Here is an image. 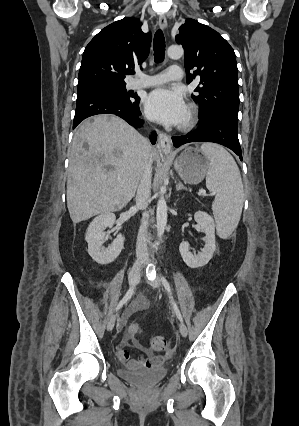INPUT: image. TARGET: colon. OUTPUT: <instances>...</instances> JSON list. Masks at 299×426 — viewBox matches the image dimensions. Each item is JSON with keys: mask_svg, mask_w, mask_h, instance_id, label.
<instances>
[{"mask_svg": "<svg viewBox=\"0 0 299 426\" xmlns=\"http://www.w3.org/2000/svg\"><path fill=\"white\" fill-rule=\"evenodd\" d=\"M142 332V328L138 323H132L128 327V334L132 338L138 337ZM151 347L156 351L166 352L168 347L166 340L161 336L153 337L151 340Z\"/></svg>", "mask_w": 299, "mask_h": 426, "instance_id": "obj_1", "label": "colon"}]
</instances>
